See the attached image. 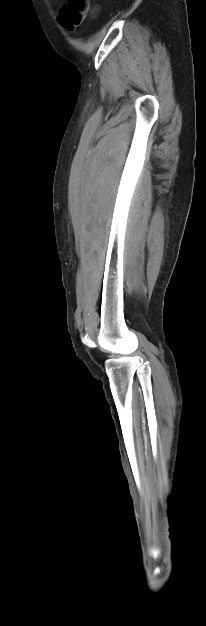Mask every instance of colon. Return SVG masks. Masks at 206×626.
Segmentation results:
<instances>
[{"label": "colon", "mask_w": 206, "mask_h": 626, "mask_svg": "<svg viewBox=\"0 0 206 626\" xmlns=\"http://www.w3.org/2000/svg\"><path fill=\"white\" fill-rule=\"evenodd\" d=\"M90 0H67L60 9V20L65 27L72 29L87 17Z\"/></svg>", "instance_id": "obj_1"}]
</instances>
